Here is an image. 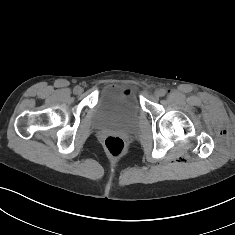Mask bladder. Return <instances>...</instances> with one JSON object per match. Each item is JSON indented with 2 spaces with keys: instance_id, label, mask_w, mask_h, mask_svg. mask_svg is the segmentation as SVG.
Here are the masks:
<instances>
[{
  "instance_id": "1",
  "label": "bladder",
  "mask_w": 235,
  "mask_h": 235,
  "mask_svg": "<svg viewBox=\"0 0 235 235\" xmlns=\"http://www.w3.org/2000/svg\"><path fill=\"white\" fill-rule=\"evenodd\" d=\"M141 108L133 90L111 86L99 96L93 108L92 120L99 129H132L140 119Z\"/></svg>"
}]
</instances>
